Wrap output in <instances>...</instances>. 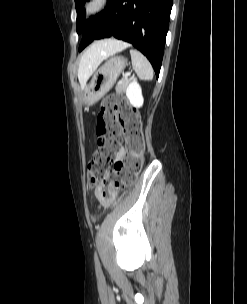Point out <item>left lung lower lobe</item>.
Instances as JSON below:
<instances>
[{
    "label": "left lung lower lobe",
    "instance_id": "0a47b994",
    "mask_svg": "<svg viewBox=\"0 0 247 304\" xmlns=\"http://www.w3.org/2000/svg\"><path fill=\"white\" fill-rule=\"evenodd\" d=\"M173 0H108L99 21L82 32L79 51L94 39L114 36L131 43L158 78Z\"/></svg>",
    "mask_w": 247,
    "mask_h": 304
}]
</instances>
